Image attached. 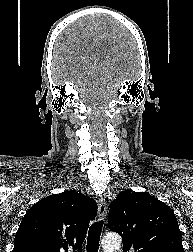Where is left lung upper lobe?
Here are the masks:
<instances>
[{
	"instance_id": "left-lung-upper-lobe-1",
	"label": "left lung upper lobe",
	"mask_w": 193,
	"mask_h": 252,
	"mask_svg": "<svg viewBox=\"0 0 193 252\" xmlns=\"http://www.w3.org/2000/svg\"><path fill=\"white\" fill-rule=\"evenodd\" d=\"M108 224L122 236L124 252H184L174 212L148 193L120 192L109 205Z\"/></svg>"
}]
</instances>
